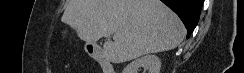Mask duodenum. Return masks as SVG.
Returning a JSON list of instances; mask_svg holds the SVG:
<instances>
[{"label":"duodenum","mask_w":244,"mask_h":73,"mask_svg":"<svg viewBox=\"0 0 244 73\" xmlns=\"http://www.w3.org/2000/svg\"><path fill=\"white\" fill-rule=\"evenodd\" d=\"M89 53L101 65L103 73H114L112 63L109 58L96 46L88 47Z\"/></svg>","instance_id":"410a0bca"}]
</instances>
